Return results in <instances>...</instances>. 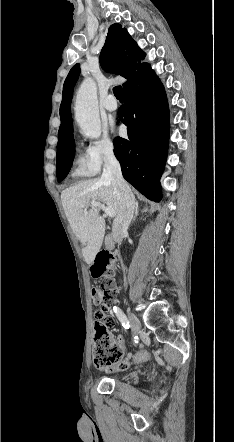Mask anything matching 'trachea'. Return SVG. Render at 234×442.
<instances>
[{
  "instance_id": "obj_1",
  "label": "trachea",
  "mask_w": 234,
  "mask_h": 442,
  "mask_svg": "<svg viewBox=\"0 0 234 442\" xmlns=\"http://www.w3.org/2000/svg\"><path fill=\"white\" fill-rule=\"evenodd\" d=\"M113 93L118 100H123L122 87L116 86L113 88Z\"/></svg>"
}]
</instances>
